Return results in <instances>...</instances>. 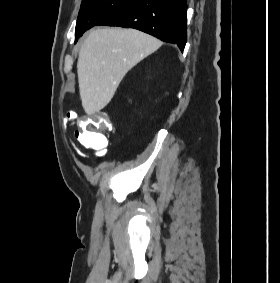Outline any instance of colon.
Instances as JSON below:
<instances>
[{"label":"colon","mask_w":280,"mask_h":283,"mask_svg":"<svg viewBox=\"0 0 280 283\" xmlns=\"http://www.w3.org/2000/svg\"><path fill=\"white\" fill-rule=\"evenodd\" d=\"M68 115L72 122L76 124L75 139L81 146L97 153L106 149L108 141L102 132L113 131L111 122H107L109 114H106V110H86V114H81L80 119H76L73 112ZM92 122L97 124L98 127L90 128L89 125Z\"/></svg>","instance_id":"colon-1"}]
</instances>
